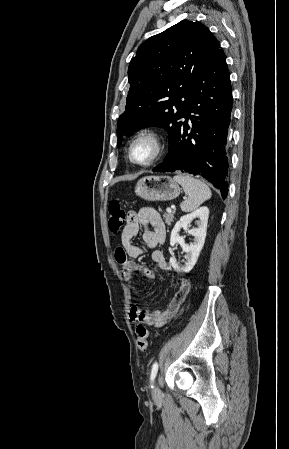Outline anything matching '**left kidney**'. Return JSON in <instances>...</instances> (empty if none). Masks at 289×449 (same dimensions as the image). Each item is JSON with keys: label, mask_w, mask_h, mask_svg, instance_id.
<instances>
[{"label": "left kidney", "mask_w": 289, "mask_h": 449, "mask_svg": "<svg viewBox=\"0 0 289 449\" xmlns=\"http://www.w3.org/2000/svg\"><path fill=\"white\" fill-rule=\"evenodd\" d=\"M209 217V209L206 206H203L196 211L184 215L180 218V220L175 224L170 237V245L174 246L176 243L182 246L183 251L186 253V262L184 266H180L174 257L170 258V265L176 272H190L195 266L199 254L204 246L206 231H207V223ZM198 218L197 228L188 229L190 227V223L193 219ZM181 228L187 229L188 233L194 236V243L187 245L185 244L184 238L179 236V231Z\"/></svg>", "instance_id": "left-kidney-1"}]
</instances>
